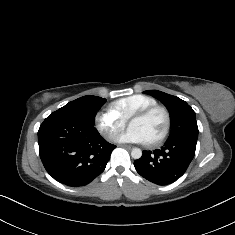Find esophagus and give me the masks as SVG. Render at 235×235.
I'll list each match as a JSON object with an SVG mask.
<instances>
[{
	"instance_id": "esophagus-1",
	"label": "esophagus",
	"mask_w": 235,
	"mask_h": 235,
	"mask_svg": "<svg viewBox=\"0 0 235 235\" xmlns=\"http://www.w3.org/2000/svg\"><path fill=\"white\" fill-rule=\"evenodd\" d=\"M119 147H122V148H126V149H131L132 148V146L131 145H128V144H120V145H118Z\"/></svg>"
}]
</instances>
